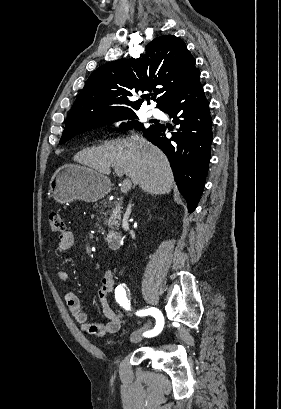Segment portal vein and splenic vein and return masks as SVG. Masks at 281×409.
<instances>
[{
	"instance_id": "obj_1",
	"label": "portal vein and splenic vein",
	"mask_w": 281,
	"mask_h": 409,
	"mask_svg": "<svg viewBox=\"0 0 281 409\" xmlns=\"http://www.w3.org/2000/svg\"><path fill=\"white\" fill-rule=\"evenodd\" d=\"M116 170H119V168H116ZM118 176H123V170H119V172H117ZM121 190H122V194L126 195L128 189L131 188V180H129V178H124V180L122 181L121 184Z\"/></svg>"
}]
</instances>
